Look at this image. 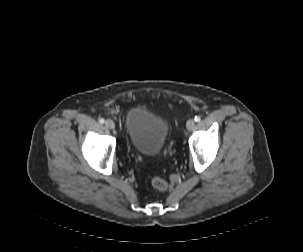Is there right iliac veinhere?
I'll list each match as a JSON object with an SVG mask.
<instances>
[{"instance_id":"1","label":"right iliac vein","mask_w":303,"mask_h":252,"mask_svg":"<svg viewBox=\"0 0 303 252\" xmlns=\"http://www.w3.org/2000/svg\"><path fill=\"white\" fill-rule=\"evenodd\" d=\"M105 126H106L107 128H109V129H114V128H115V123H114L113 120L107 119V120L105 121Z\"/></svg>"}]
</instances>
